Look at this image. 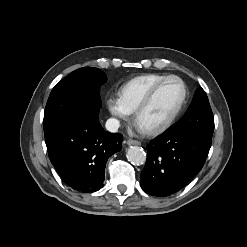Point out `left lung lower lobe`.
<instances>
[{"mask_svg":"<svg viewBox=\"0 0 247 247\" xmlns=\"http://www.w3.org/2000/svg\"><path fill=\"white\" fill-rule=\"evenodd\" d=\"M211 141L210 135L182 133L173 127L152 140L140 175L142 189L165 197L185 187L203 167Z\"/></svg>","mask_w":247,"mask_h":247,"instance_id":"obj_1","label":"left lung lower lobe"}]
</instances>
